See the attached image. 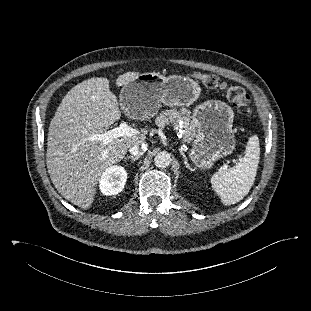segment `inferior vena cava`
Segmentation results:
<instances>
[{"mask_svg": "<svg viewBox=\"0 0 311 311\" xmlns=\"http://www.w3.org/2000/svg\"><path fill=\"white\" fill-rule=\"evenodd\" d=\"M147 150V145L142 143L141 147L139 145H134L130 148V153L134 156H140Z\"/></svg>", "mask_w": 311, "mask_h": 311, "instance_id": "obj_1", "label": "inferior vena cava"}]
</instances>
